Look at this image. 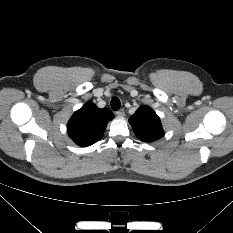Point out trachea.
Segmentation results:
<instances>
[{"mask_svg":"<svg viewBox=\"0 0 233 233\" xmlns=\"http://www.w3.org/2000/svg\"><path fill=\"white\" fill-rule=\"evenodd\" d=\"M110 104H111V107H112V109H113L114 111H118V110L120 109L121 102H120V100H119L117 97H113V98L111 99Z\"/></svg>","mask_w":233,"mask_h":233,"instance_id":"obj_1","label":"trachea"}]
</instances>
